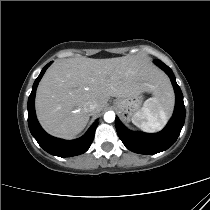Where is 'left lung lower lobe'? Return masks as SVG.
<instances>
[{
  "label": "left lung lower lobe",
  "mask_w": 210,
  "mask_h": 210,
  "mask_svg": "<svg viewBox=\"0 0 210 210\" xmlns=\"http://www.w3.org/2000/svg\"><path fill=\"white\" fill-rule=\"evenodd\" d=\"M154 62L169 75L175 90V110L167 126L156 134L134 133L126 129L117 117L115 119L116 130L123 144L139 154H155L168 149L177 140L185 121L183 95L172 70L160 60Z\"/></svg>",
  "instance_id": "obj_1"
}]
</instances>
